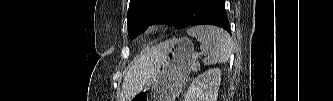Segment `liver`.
I'll list each match as a JSON object with an SVG mask.
<instances>
[{
    "label": "liver",
    "mask_w": 333,
    "mask_h": 101,
    "mask_svg": "<svg viewBox=\"0 0 333 101\" xmlns=\"http://www.w3.org/2000/svg\"><path fill=\"white\" fill-rule=\"evenodd\" d=\"M166 49L167 42L161 43L148 49L134 61L123 81L121 101H130L148 85L157 72Z\"/></svg>",
    "instance_id": "6515ba94"
}]
</instances>
